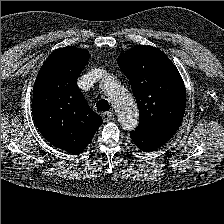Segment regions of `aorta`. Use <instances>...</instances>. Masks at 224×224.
<instances>
[{"label":"aorta","instance_id":"aorta-1","mask_svg":"<svg viewBox=\"0 0 224 224\" xmlns=\"http://www.w3.org/2000/svg\"><path fill=\"white\" fill-rule=\"evenodd\" d=\"M101 87L114 106L120 125L124 130H134L138 125V109L132 95L113 76H105Z\"/></svg>","mask_w":224,"mask_h":224}]
</instances>
